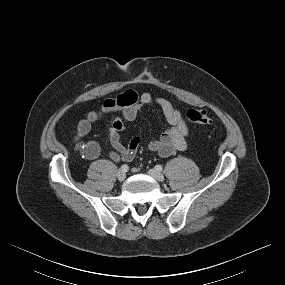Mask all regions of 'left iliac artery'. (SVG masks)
<instances>
[{
	"instance_id": "obj_1",
	"label": "left iliac artery",
	"mask_w": 285,
	"mask_h": 285,
	"mask_svg": "<svg viewBox=\"0 0 285 285\" xmlns=\"http://www.w3.org/2000/svg\"><path fill=\"white\" fill-rule=\"evenodd\" d=\"M155 169L158 170V171H162L163 170V167L161 165H156L155 166Z\"/></svg>"
}]
</instances>
